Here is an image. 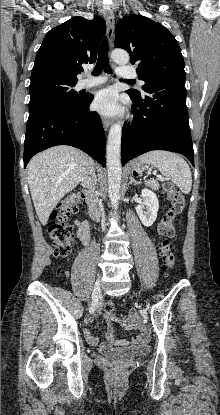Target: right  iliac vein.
I'll return each instance as SVG.
<instances>
[{
  "instance_id": "1",
  "label": "right iliac vein",
  "mask_w": 220,
  "mask_h": 415,
  "mask_svg": "<svg viewBox=\"0 0 220 415\" xmlns=\"http://www.w3.org/2000/svg\"><path fill=\"white\" fill-rule=\"evenodd\" d=\"M100 296H101V280H100V277H98L94 285L93 291H92L91 305L89 308V312L91 314L95 311Z\"/></svg>"
}]
</instances>
